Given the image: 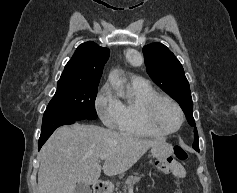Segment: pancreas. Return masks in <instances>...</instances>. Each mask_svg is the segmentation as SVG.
Masks as SVG:
<instances>
[{
  "mask_svg": "<svg viewBox=\"0 0 237 193\" xmlns=\"http://www.w3.org/2000/svg\"><path fill=\"white\" fill-rule=\"evenodd\" d=\"M143 176V175H142ZM141 176L138 175V173H135V176H129L125 182H124V185H123V190L124 192L126 191V189L129 187V186H132L134 185L136 182H138L140 180ZM119 186V184H118ZM121 193V192H119ZM126 193V192H125Z\"/></svg>",
  "mask_w": 237,
  "mask_h": 193,
  "instance_id": "obj_1",
  "label": "pancreas"
}]
</instances>
